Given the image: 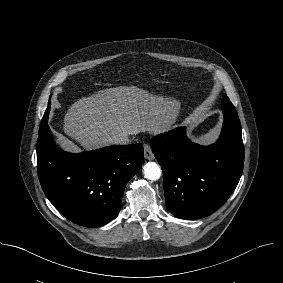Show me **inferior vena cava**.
Segmentation results:
<instances>
[{
    "label": "inferior vena cava",
    "mask_w": 283,
    "mask_h": 283,
    "mask_svg": "<svg viewBox=\"0 0 283 283\" xmlns=\"http://www.w3.org/2000/svg\"><path fill=\"white\" fill-rule=\"evenodd\" d=\"M131 140L129 134L120 133L111 139V143L115 145H127L130 144Z\"/></svg>",
    "instance_id": "602c4592"
}]
</instances>
